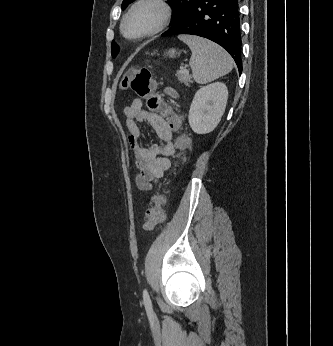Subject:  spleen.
Listing matches in <instances>:
<instances>
[{"label":"spleen","instance_id":"spleen-1","mask_svg":"<svg viewBox=\"0 0 333 346\" xmlns=\"http://www.w3.org/2000/svg\"><path fill=\"white\" fill-rule=\"evenodd\" d=\"M179 39L192 51L189 63L197 83H208L232 70L233 61L230 55L219 45L197 36L184 35Z\"/></svg>","mask_w":333,"mask_h":346}]
</instances>
